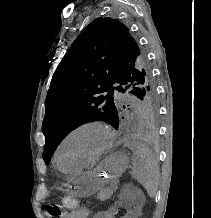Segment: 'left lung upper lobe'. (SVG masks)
<instances>
[{"instance_id":"5c2ea615","label":"left lung upper lobe","mask_w":211,"mask_h":218,"mask_svg":"<svg viewBox=\"0 0 211 218\" xmlns=\"http://www.w3.org/2000/svg\"><path fill=\"white\" fill-rule=\"evenodd\" d=\"M114 91L137 96L133 114L156 127L157 95L146 52L118 20L99 17L76 38L53 74L42 124L46 164L64 137L84 123L100 120L118 129L131 108Z\"/></svg>"}]
</instances>
